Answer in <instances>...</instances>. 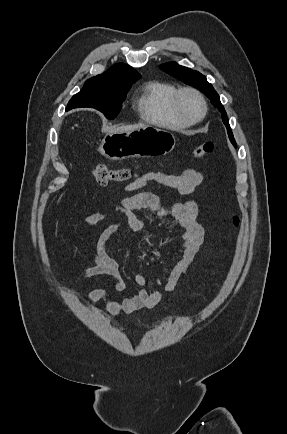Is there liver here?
<instances>
[{"label": "liver", "instance_id": "1", "mask_svg": "<svg viewBox=\"0 0 287 434\" xmlns=\"http://www.w3.org/2000/svg\"><path fill=\"white\" fill-rule=\"evenodd\" d=\"M145 126L146 125H144V124L127 125V126H121V127L111 129L109 132H131V131H134L136 129H139V128H142Z\"/></svg>", "mask_w": 287, "mask_h": 434}]
</instances>
